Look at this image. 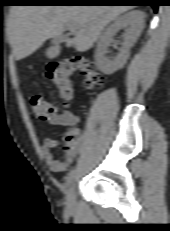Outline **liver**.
Wrapping results in <instances>:
<instances>
[{
  "instance_id": "6515ba94",
  "label": "liver",
  "mask_w": 170,
  "mask_h": 231,
  "mask_svg": "<svg viewBox=\"0 0 170 231\" xmlns=\"http://www.w3.org/2000/svg\"><path fill=\"white\" fill-rule=\"evenodd\" d=\"M131 5L95 6H13L8 18V38L16 60L36 51L47 39L60 38L72 27L75 37L65 39L66 47L89 50L104 27Z\"/></svg>"
}]
</instances>
